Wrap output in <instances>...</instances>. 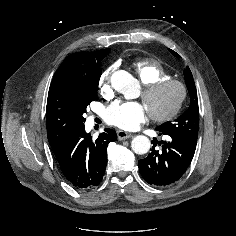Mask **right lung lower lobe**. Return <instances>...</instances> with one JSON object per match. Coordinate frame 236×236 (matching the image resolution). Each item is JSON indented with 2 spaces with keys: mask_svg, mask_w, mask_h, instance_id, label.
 <instances>
[{
  "mask_svg": "<svg viewBox=\"0 0 236 236\" xmlns=\"http://www.w3.org/2000/svg\"><path fill=\"white\" fill-rule=\"evenodd\" d=\"M116 140L117 134L112 129L106 128L92 140L84 125L76 128L64 146L54 153L64 177L76 189L97 186L105 173L107 146Z\"/></svg>",
  "mask_w": 236,
  "mask_h": 236,
  "instance_id": "right-lung-lower-lobe-1",
  "label": "right lung lower lobe"
}]
</instances>
